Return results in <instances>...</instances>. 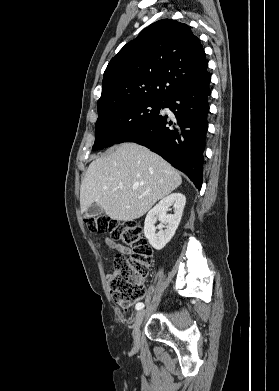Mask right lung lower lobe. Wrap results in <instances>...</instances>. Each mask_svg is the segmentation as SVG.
<instances>
[{"label":"right lung lower lobe","instance_id":"1","mask_svg":"<svg viewBox=\"0 0 279 391\" xmlns=\"http://www.w3.org/2000/svg\"><path fill=\"white\" fill-rule=\"evenodd\" d=\"M210 81L206 71L163 101L161 109L168 108V114L160 110L153 120L132 129L116 144L131 141L148 147L201 189Z\"/></svg>","mask_w":279,"mask_h":391}]
</instances>
